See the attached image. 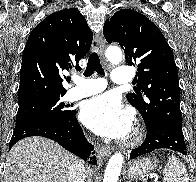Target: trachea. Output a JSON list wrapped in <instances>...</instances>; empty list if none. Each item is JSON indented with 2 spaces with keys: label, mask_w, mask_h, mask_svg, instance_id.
<instances>
[{
  "label": "trachea",
  "mask_w": 196,
  "mask_h": 182,
  "mask_svg": "<svg viewBox=\"0 0 196 182\" xmlns=\"http://www.w3.org/2000/svg\"><path fill=\"white\" fill-rule=\"evenodd\" d=\"M94 72H97L101 75L104 74V69L102 68V65L100 63L99 56L95 52L91 53V55L89 56L84 76H91Z\"/></svg>",
  "instance_id": "3493384b"
}]
</instances>
